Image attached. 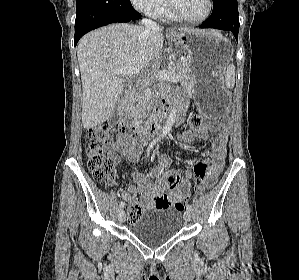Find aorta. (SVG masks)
I'll return each mask as SVG.
<instances>
[{"instance_id":"aorta-1","label":"aorta","mask_w":299,"mask_h":280,"mask_svg":"<svg viewBox=\"0 0 299 280\" xmlns=\"http://www.w3.org/2000/svg\"><path fill=\"white\" fill-rule=\"evenodd\" d=\"M176 113H177V109H176V100L174 99V103H173V107L171 109V112L169 114V117L165 123V126H164V129H163V132H162V137L164 135H166L171 129H172V126L175 122V119H176Z\"/></svg>"}]
</instances>
